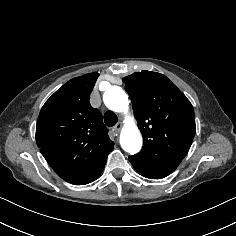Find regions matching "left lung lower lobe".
Instances as JSON below:
<instances>
[{"instance_id":"obj_1","label":"left lung lower lobe","mask_w":236,"mask_h":236,"mask_svg":"<svg viewBox=\"0 0 236 236\" xmlns=\"http://www.w3.org/2000/svg\"><path fill=\"white\" fill-rule=\"evenodd\" d=\"M129 160L140 175L150 179L164 178L177 168L174 166L152 165L142 160H136L132 156H129Z\"/></svg>"}]
</instances>
